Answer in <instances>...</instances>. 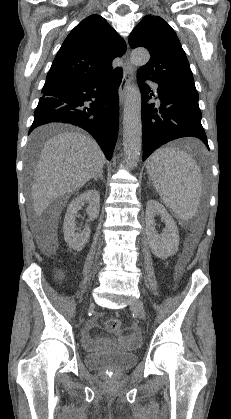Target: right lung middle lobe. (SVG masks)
Segmentation results:
<instances>
[{
	"label": "right lung middle lobe",
	"instance_id": "right-lung-middle-lobe-1",
	"mask_svg": "<svg viewBox=\"0 0 231 419\" xmlns=\"http://www.w3.org/2000/svg\"><path fill=\"white\" fill-rule=\"evenodd\" d=\"M49 88H52V87H43L42 92H43L44 90H46V89H49ZM39 144H40V141H38V140H34V141H33V147H34V148L38 147V146H39Z\"/></svg>",
	"mask_w": 231,
	"mask_h": 419
}]
</instances>
